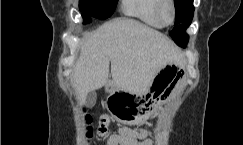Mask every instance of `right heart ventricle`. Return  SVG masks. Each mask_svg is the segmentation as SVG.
Wrapping results in <instances>:
<instances>
[{"label":"right heart ventricle","mask_w":243,"mask_h":145,"mask_svg":"<svg viewBox=\"0 0 243 145\" xmlns=\"http://www.w3.org/2000/svg\"><path fill=\"white\" fill-rule=\"evenodd\" d=\"M157 2L158 0H122L121 9L127 16L134 17L151 27L162 28L164 24L156 14Z\"/></svg>","instance_id":"1"}]
</instances>
